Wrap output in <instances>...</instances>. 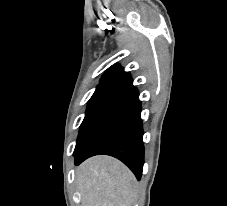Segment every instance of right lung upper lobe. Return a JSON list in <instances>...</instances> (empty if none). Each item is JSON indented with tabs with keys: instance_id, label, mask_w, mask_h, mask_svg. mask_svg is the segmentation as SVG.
Here are the masks:
<instances>
[{
	"instance_id": "cb5924a9",
	"label": "right lung upper lobe",
	"mask_w": 227,
	"mask_h": 206,
	"mask_svg": "<svg viewBox=\"0 0 227 206\" xmlns=\"http://www.w3.org/2000/svg\"><path fill=\"white\" fill-rule=\"evenodd\" d=\"M101 83L119 82L132 84V79L128 72H125L119 65L110 67L100 80Z\"/></svg>"
}]
</instances>
